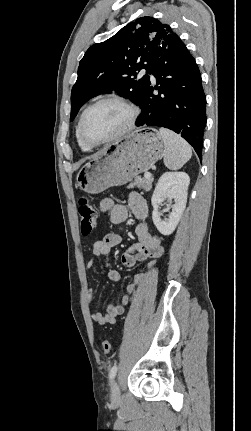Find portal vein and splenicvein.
<instances>
[{
    "mask_svg": "<svg viewBox=\"0 0 251 431\" xmlns=\"http://www.w3.org/2000/svg\"><path fill=\"white\" fill-rule=\"evenodd\" d=\"M144 177L147 178V179H150L152 177V175H151V173H145Z\"/></svg>",
    "mask_w": 251,
    "mask_h": 431,
    "instance_id": "obj_1",
    "label": "portal vein and splenic vein"
}]
</instances>
